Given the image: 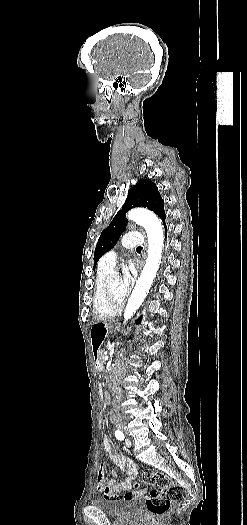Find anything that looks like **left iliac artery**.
<instances>
[{"label": "left iliac artery", "mask_w": 247, "mask_h": 525, "mask_svg": "<svg viewBox=\"0 0 247 525\" xmlns=\"http://www.w3.org/2000/svg\"><path fill=\"white\" fill-rule=\"evenodd\" d=\"M115 436L118 440H121V441L124 440V434L119 430L115 431Z\"/></svg>", "instance_id": "1"}]
</instances>
